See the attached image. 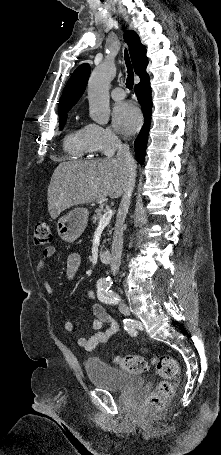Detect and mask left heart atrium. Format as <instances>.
I'll return each mask as SVG.
<instances>
[{
  "instance_id": "obj_1",
  "label": "left heart atrium",
  "mask_w": 221,
  "mask_h": 455,
  "mask_svg": "<svg viewBox=\"0 0 221 455\" xmlns=\"http://www.w3.org/2000/svg\"><path fill=\"white\" fill-rule=\"evenodd\" d=\"M114 127L124 135L134 134L142 123L139 109L131 102L117 104L112 113Z\"/></svg>"
}]
</instances>
